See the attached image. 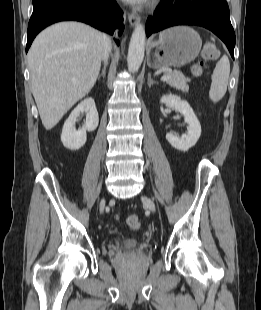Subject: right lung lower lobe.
I'll return each instance as SVG.
<instances>
[{
    "instance_id": "98d812e1",
    "label": "right lung lower lobe",
    "mask_w": 261,
    "mask_h": 310,
    "mask_svg": "<svg viewBox=\"0 0 261 310\" xmlns=\"http://www.w3.org/2000/svg\"><path fill=\"white\" fill-rule=\"evenodd\" d=\"M122 14L116 0H33L26 52L42 29L63 20L85 22L109 34L116 29L122 33ZM115 41L119 44L118 40Z\"/></svg>"
}]
</instances>
